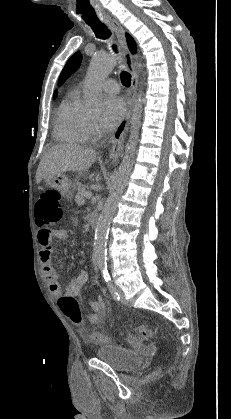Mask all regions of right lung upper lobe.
Instances as JSON below:
<instances>
[{
	"label": "right lung upper lobe",
	"instance_id": "right-lung-upper-lobe-1",
	"mask_svg": "<svg viewBox=\"0 0 231 419\" xmlns=\"http://www.w3.org/2000/svg\"><path fill=\"white\" fill-rule=\"evenodd\" d=\"M126 38H127V43H128L130 51L132 53H136L137 46H136V43H135L134 39L131 36H129V34H126ZM56 96H57V91L54 92L53 97L55 98Z\"/></svg>",
	"mask_w": 231,
	"mask_h": 419
}]
</instances>
